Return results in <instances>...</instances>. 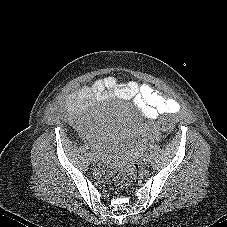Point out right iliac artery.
Here are the masks:
<instances>
[{
	"label": "right iliac artery",
	"mask_w": 227,
	"mask_h": 227,
	"mask_svg": "<svg viewBox=\"0 0 227 227\" xmlns=\"http://www.w3.org/2000/svg\"><path fill=\"white\" fill-rule=\"evenodd\" d=\"M84 147H85L86 149H89V146H88V144H85V145H84Z\"/></svg>",
	"instance_id": "right-iliac-artery-1"
}]
</instances>
